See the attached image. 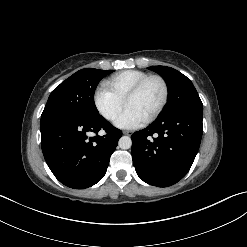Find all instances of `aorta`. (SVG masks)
Listing matches in <instances>:
<instances>
[{
	"mask_svg": "<svg viewBox=\"0 0 247 247\" xmlns=\"http://www.w3.org/2000/svg\"><path fill=\"white\" fill-rule=\"evenodd\" d=\"M118 145L121 149H129L132 146V140L129 136H122L119 139Z\"/></svg>",
	"mask_w": 247,
	"mask_h": 247,
	"instance_id": "obj_1",
	"label": "aorta"
}]
</instances>
